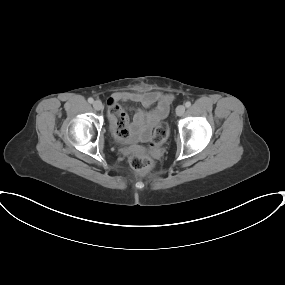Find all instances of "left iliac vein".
<instances>
[{"label":"left iliac vein","instance_id":"obj_1","mask_svg":"<svg viewBox=\"0 0 285 285\" xmlns=\"http://www.w3.org/2000/svg\"><path fill=\"white\" fill-rule=\"evenodd\" d=\"M185 112V107L183 105H179L177 108H176V114L178 116H182Z\"/></svg>","mask_w":285,"mask_h":285}]
</instances>
